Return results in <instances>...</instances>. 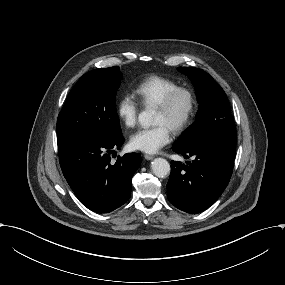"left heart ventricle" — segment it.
I'll return each mask as SVG.
<instances>
[{"mask_svg":"<svg viewBox=\"0 0 285 285\" xmlns=\"http://www.w3.org/2000/svg\"><path fill=\"white\" fill-rule=\"evenodd\" d=\"M188 106V97L185 93H180L170 111H162L158 108H154L153 111V117H152V123L158 124V123H164L171 127L172 122L183 115L186 108Z\"/></svg>","mask_w":285,"mask_h":285,"instance_id":"1","label":"left heart ventricle"}]
</instances>
